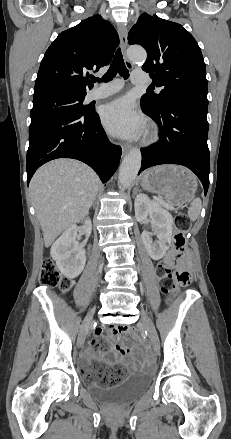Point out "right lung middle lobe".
<instances>
[{"label":"right lung middle lobe","instance_id":"obj_1","mask_svg":"<svg viewBox=\"0 0 231 439\" xmlns=\"http://www.w3.org/2000/svg\"><path fill=\"white\" fill-rule=\"evenodd\" d=\"M86 94L50 93L33 98L31 124L68 113H80L90 109L83 104Z\"/></svg>","mask_w":231,"mask_h":439}]
</instances>
